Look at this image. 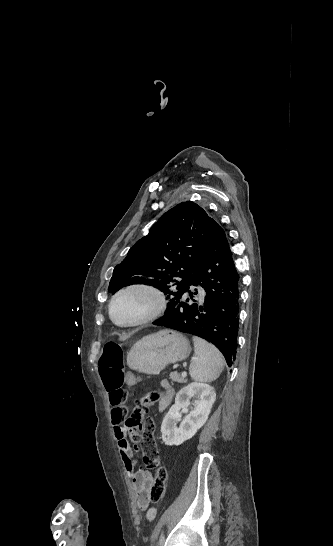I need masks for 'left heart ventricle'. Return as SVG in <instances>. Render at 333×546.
<instances>
[{
    "label": "left heart ventricle",
    "mask_w": 333,
    "mask_h": 546,
    "mask_svg": "<svg viewBox=\"0 0 333 546\" xmlns=\"http://www.w3.org/2000/svg\"><path fill=\"white\" fill-rule=\"evenodd\" d=\"M151 305V298L140 292L122 296L113 306V316L118 322H129L142 315Z\"/></svg>",
    "instance_id": "left-heart-ventricle-1"
}]
</instances>
